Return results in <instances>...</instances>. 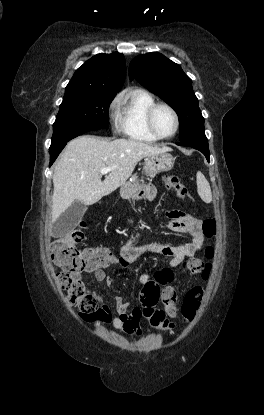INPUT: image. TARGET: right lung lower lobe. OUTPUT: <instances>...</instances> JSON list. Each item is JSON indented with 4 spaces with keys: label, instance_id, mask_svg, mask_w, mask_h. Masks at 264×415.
<instances>
[{
    "label": "right lung lower lobe",
    "instance_id": "obj_1",
    "mask_svg": "<svg viewBox=\"0 0 264 415\" xmlns=\"http://www.w3.org/2000/svg\"><path fill=\"white\" fill-rule=\"evenodd\" d=\"M66 144H67V142L64 143V144H62V145H60V146H58L57 148L49 149V153H50V166L56 160V158L58 157V155L63 150V148L65 147Z\"/></svg>",
    "mask_w": 264,
    "mask_h": 415
}]
</instances>
